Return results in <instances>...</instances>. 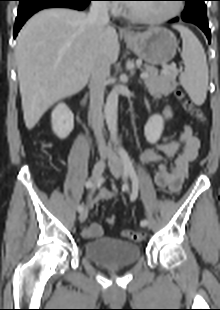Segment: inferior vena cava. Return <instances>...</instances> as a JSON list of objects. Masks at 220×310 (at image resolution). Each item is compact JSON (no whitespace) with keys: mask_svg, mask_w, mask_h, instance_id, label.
Returning <instances> with one entry per match:
<instances>
[{"mask_svg":"<svg viewBox=\"0 0 220 310\" xmlns=\"http://www.w3.org/2000/svg\"><path fill=\"white\" fill-rule=\"evenodd\" d=\"M88 22L100 33L109 23L108 5L104 1H92L88 13ZM110 72L108 60L100 54L95 57L90 78V119L94 134L98 140L101 155L111 154L112 149L107 147L103 140V103L106 78Z\"/></svg>","mask_w":220,"mask_h":310,"instance_id":"obj_1","label":"inferior vena cava"}]
</instances>
